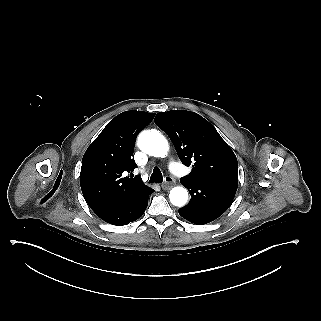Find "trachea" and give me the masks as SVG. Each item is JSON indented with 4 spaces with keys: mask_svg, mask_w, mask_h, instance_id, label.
Instances as JSON below:
<instances>
[{
    "mask_svg": "<svg viewBox=\"0 0 321 321\" xmlns=\"http://www.w3.org/2000/svg\"><path fill=\"white\" fill-rule=\"evenodd\" d=\"M150 180L153 182L161 183L163 180L162 173L158 167L153 169V173L150 177Z\"/></svg>",
    "mask_w": 321,
    "mask_h": 321,
    "instance_id": "obj_1",
    "label": "trachea"
}]
</instances>
